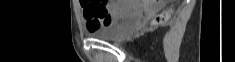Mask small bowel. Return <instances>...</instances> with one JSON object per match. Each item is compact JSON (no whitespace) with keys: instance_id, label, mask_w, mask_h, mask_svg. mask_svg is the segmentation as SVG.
Listing matches in <instances>:
<instances>
[{"instance_id":"c3829d8e","label":"small bowel","mask_w":235,"mask_h":62,"mask_svg":"<svg viewBox=\"0 0 235 62\" xmlns=\"http://www.w3.org/2000/svg\"><path fill=\"white\" fill-rule=\"evenodd\" d=\"M81 5H82L83 10H84V17L86 19V26H87V29L89 31L95 30V29L99 28L100 26H102L106 23L105 21L96 20L95 17L87 16L86 15V9H85V6L83 5V2L81 3ZM124 5H125L124 2H117V3H114L112 1L107 2V8L112 12H116L117 10H120ZM110 18H111V15L109 13V19Z\"/></svg>"}]
</instances>
